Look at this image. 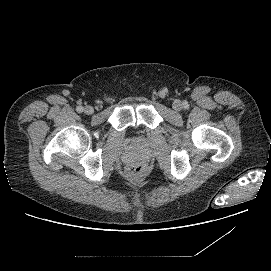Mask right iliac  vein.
<instances>
[{
	"instance_id": "obj_1",
	"label": "right iliac vein",
	"mask_w": 271,
	"mask_h": 271,
	"mask_svg": "<svg viewBox=\"0 0 271 271\" xmlns=\"http://www.w3.org/2000/svg\"><path fill=\"white\" fill-rule=\"evenodd\" d=\"M84 112L87 114V115H91V114H93V112H94V108L92 107V106H86L85 108H84Z\"/></svg>"
}]
</instances>
